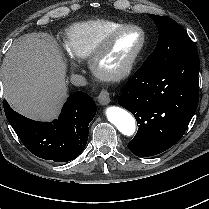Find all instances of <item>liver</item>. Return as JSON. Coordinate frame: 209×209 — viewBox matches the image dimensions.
I'll list each match as a JSON object with an SVG mask.
<instances>
[{"label":"liver","mask_w":209,"mask_h":209,"mask_svg":"<svg viewBox=\"0 0 209 209\" xmlns=\"http://www.w3.org/2000/svg\"><path fill=\"white\" fill-rule=\"evenodd\" d=\"M4 97L33 119L57 117L67 95L66 64L56 42L45 34L16 39L2 63Z\"/></svg>","instance_id":"liver-1"}]
</instances>
